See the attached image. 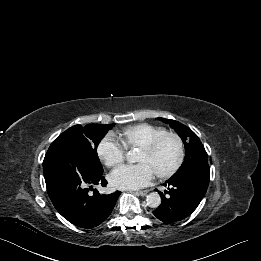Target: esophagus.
<instances>
[{
    "label": "esophagus",
    "instance_id": "1",
    "mask_svg": "<svg viewBox=\"0 0 261 261\" xmlns=\"http://www.w3.org/2000/svg\"><path fill=\"white\" fill-rule=\"evenodd\" d=\"M149 193V190H144V191H138L136 192L137 195H140V196H145Z\"/></svg>",
    "mask_w": 261,
    "mask_h": 261
}]
</instances>
